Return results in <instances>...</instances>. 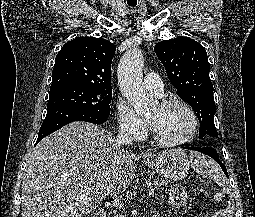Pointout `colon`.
Returning <instances> with one entry per match:
<instances>
[{"mask_svg":"<svg viewBox=\"0 0 255 217\" xmlns=\"http://www.w3.org/2000/svg\"><path fill=\"white\" fill-rule=\"evenodd\" d=\"M170 202L175 208H184L188 205L189 198L181 186H173L170 192Z\"/></svg>","mask_w":255,"mask_h":217,"instance_id":"1","label":"colon"}]
</instances>
